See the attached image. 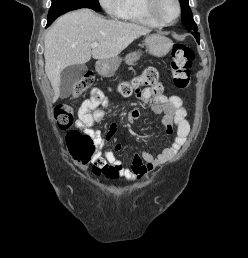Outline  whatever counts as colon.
Masks as SVG:
<instances>
[{
	"label": "colon",
	"instance_id": "obj_1",
	"mask_svg": "<svg viewBox=\"0 0 248 258\" xmlns=\"http://www.w3.org/2000/svg\"><path fill=\"white\" fill-rule=\"evenodd\" d=\"M173 59L171 61V77L175 87L178 89H187L191 84L190 68L194 59V53L190 46L185 44H175L172 49ZM158 71L155 68H147L140 76L131 82H124L119 86V91L123 96H129L131 93L143 86H158ZM94 77L91 73H86L75 85L74 96L80 95L87 90L93 83ZM55 122L60 129H70L74 117L73 109L68 104H60L54 111ZM66 142L70 154L75 160L83 165H88L95 157V145L92 137L85 131L72 129L66 135ZM96 174L109 175L113 178L118 176L115 169H99L94 164L93 168Z\"/></svg>",
	"mask_w": 248,
	"mask_h": 258
}]
</instances>
